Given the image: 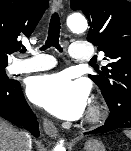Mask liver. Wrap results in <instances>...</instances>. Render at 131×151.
Segmentation results:
<instances>
[{"instance_id": "1", "label": "liver", "mask_w": 131, "mask_h": 151, "mask_svg": "<svg viewBox=\"0 0 131 151\" xmlns=\"http://www.w3.org/2000/svg\"><path fill=\"white\" fill-rule=\"evenodd\" d=\"M19 134L10 123L0 119V151H19Z\"/></svg>"}]
</instances>
